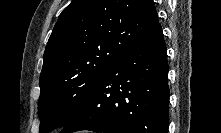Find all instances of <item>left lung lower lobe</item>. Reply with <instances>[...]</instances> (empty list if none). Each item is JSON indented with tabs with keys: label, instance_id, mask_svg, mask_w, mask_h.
Masks as SVG:
<instances>
[{
	"label": "left lung lower lobe",
	"instance_id": "left-lung-lower-lobe-1",
	"mask_svg": "<svg viewBox=\"0 0 221 133\" xmlns=\"http://www.w3.org/2000/svg\"><path fill=\"white\" fill-rule=\"evenodd\" d=\"M168 63L161 25L135 40L105 71L60 133H167Z\"/></svg>",
	"mask_w": 221,
	"mask_h": 133
}]
</instances>
